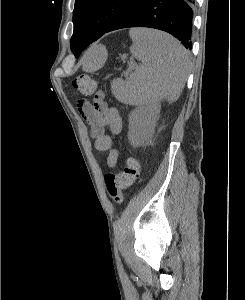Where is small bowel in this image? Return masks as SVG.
<instances>
[{"instance_id":"c3829d8e","label":"small bowel","mask_w":245,"mask_h":300,"mask_svg":"<svg viewBox=\"0 0 245 300\" xmlns=\"http://www.w3.org/2000/svg\"><path fill=\"white\" fill-rule=\"evenodd\" d=\"M78 110L90 127V135L94 139V146L100 152L108 151L107 165L116 169L119 152L113 148L111 135H119L123 130V122L116 108L105 101L102 91H99L93 103L80 101Z\"/></svg>"}]
</instances>
